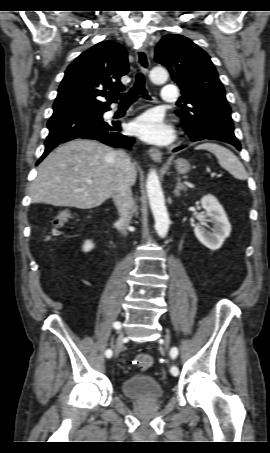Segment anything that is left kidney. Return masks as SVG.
Masks as SVG:
<instances>
[{"label": "left kidney", "mask_w": 270, "mask_h": 453, "mask_svg": "<svg viewBox=\"0 0 270 453\" xmlns=\"http://www.w3.org/2000/svg\"><path fill=\"white\" fill-rule=\"evenodd\" d=\"M200 203L207 216L210 217L206 221L212 223V232L206 230L207 223L201 222L195 226L194 233L205 247L216 251L221 248L225 239L229 237L231 224L223 207L214 196L206 195L201 199Z\"/></svg>", "instance_id": "1"}]
</instances>
